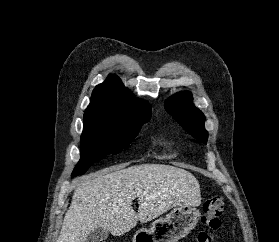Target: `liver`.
Segmentation results:
<instances>
[{
  "label": "liver",
  "instance_id": "1",
  "mask_svg": "<svg viewBox=\"0 0 279 242\" xmlns=\"http://www.w3.org/2000/svg\"><path fill=\"white\" fill-rule=\"evenodd\" d=\"M122 164L79 178L57 242H85L102 227L119 236L180 204H201L200 185L185 169ZM146 196V197H145ZM138 198V213L132 202Z\"/></svg>",
  "mask_w": 279,
  "mask_h": 242
}]
</instances>
